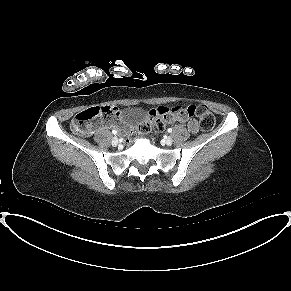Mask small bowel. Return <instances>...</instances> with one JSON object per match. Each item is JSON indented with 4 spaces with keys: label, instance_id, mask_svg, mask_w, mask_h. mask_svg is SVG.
Returning a JSON list of instances; mask_svg holds the SVG:
<instances>
[{
    "label": "small bowel",
    "instance_id": "c3829d8e",
    "mask_svg": "<svg viewBox=\"0 0 291 291\" xmlns=\"http://www.w3.org/2000/svg\"><path fill=\"white\" fill-rule=\"evenodd\" d=\"M155 111H156L155 109L147 111L146 116L148 117L152 112H155ZM173 119L178 121V122L187 123V128L192 133H196L199 129L198 122L195 119H192L191 116L187 115L186 109H183L182 112L176 114ZM121 128L124 131L129 130L125 126H122Z\"/></svg>",
    "mask_w": 291,
    "mask_h": 291
}]
</instances>
